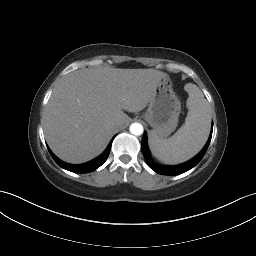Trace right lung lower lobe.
<instances>
[{"label": "right lung lower lobe", "mask_w": 256, "mask_h": 256, "mask_svg": "<svg viewBox=\"0 0 256 256\" xmlns=\"http://www.w3.org/2000/svg\"><path fill=\"white\" fill-rule=\"evenodd\" d=\"M112 141L109 143L107 149L104 151V153L102 155H100L99 157H97L96 159L89 161L87 163L84 164H80V165H73V164H68L65 163L63 161H61L60 159H58L53 153L52 151L48 148L49 153L51 154L52 158L54 159V161L62 168L71 171V172H75V173H88L91 171L96 170L98 167H100L108 158L110 150H111V145H112Z\"/></svg>", "instance_id": "98d812e1"}]
</instances>
